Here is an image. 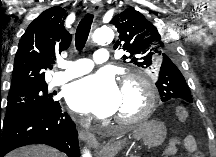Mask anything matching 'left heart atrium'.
Here are the masks:
<instances>
[{"label":"left heart atrium","instance_id":"obj_1","mask_svg":"<svg viewBox=\"0 0 216 157\" xmlns=\"http://www.w3.org/2000/svg\"><path fill=\"white\" fill-rule=\"evenodd\" d=\"M66 101L76 112L92 113L104 118L118 110L121 89L111 72L101 71L73 82L68 87Z\"/></svg>","mask_w":216,"mask_h":157}]
</instances>
